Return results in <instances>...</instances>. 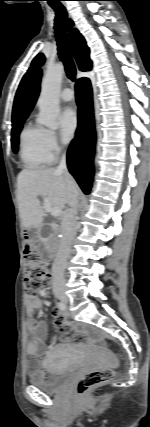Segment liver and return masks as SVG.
<instances>
[{
    "instance_id": "6515ba94",
    "label": "liver",
    "mask_w": 150,
    "mask_h": 427,
    "mask_svg": "<svg viewBox=\"0 0 150 427\" xmlns=\"http://www.w3.org/2000/svg\"><path fill=\"white\" fill-rule=\"evenodd\" d=\"M72 182L77 189L73 179ZM67 193L66 177L56 169L22 170L17 177V199L23 227L31 229L42 226L44 211L38 196L48 199L52 207L62 210Z\"/></svg>"
}]
</instances>
